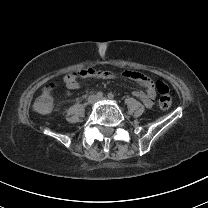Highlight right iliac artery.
I'll use <instances>...</instances> for the list:
<instances>
[{"label": "right iliac artery", "mask_w": 208, "mask_h": 208, "mask_svg": "<svg viewBox=\"0 0 208 208\" xmlns=\"http://www.w3.org/2000/svg\"><path fill=\"white\" fill-rule=\"evenodd\" d=\"M97 98H102L103 97V93L101 91L97 92L96 94Z\"/></svg>", "instance_id": "right-iliac-artery-1"}]
</instances>
